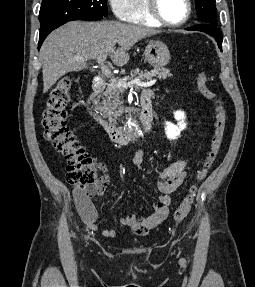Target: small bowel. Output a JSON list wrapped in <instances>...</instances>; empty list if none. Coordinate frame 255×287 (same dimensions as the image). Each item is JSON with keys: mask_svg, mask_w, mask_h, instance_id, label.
I'll list each match as a JSON object with an SVG mask.
<instances>
[{"mask_svg": "<svg viewBox=\"0 0 255 287\" xmlns=\"http://www.w3.org/2000/svg\"><path fill=\"white\" fill-rule=\"evenodd\" d=\"M145 153L139 149L134 153L133 164L138 172H143V162ZM187 162L178 160L162 169L156 175V186L160 191L157 202L154 204L152 214L146 218H138L135 214L122 216L119 223L122 226L130 227L137 235H142L150 229L160 225L169 215L170 205L172 203V194L182 185L186 177ZM110 172L103 169L97 182L87 191L83 192L77 186L73 187V197L77 211L86 224L93 231L98 230V213L93 205L91 198L93 196H102L105 188L110 181ZM120 231L115 229H104L102 235L105 237H117Z\"/></svg>", "mask_w": 255, "mask_h": 287, "instance_id": "small-bowel-1", "label": "small bowel"}]
</instances>
